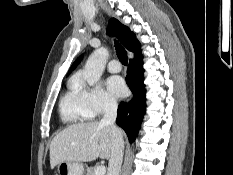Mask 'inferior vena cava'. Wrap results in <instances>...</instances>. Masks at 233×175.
Listing matches in <instances>:
<instances>
[{
  "label": "inferior vena cava",
  "mask_w": 233,
  "mask_h": 175,
  "mask_svg": "<svg viewBox=\"0 0 233 175\" xmlns=\"http://www.w3.org/2000/svg\"><path fill=\"white\" fill-rule=\"evenodd\" d=\"M117 102L114 99H108L105 103L104 116L101 124L109 125L113 134V146L111 157L109 159L107 175H119L123 160L124 141L120 135L119 129L115 125L117 117Z\"/></svg>",
  "instance_id": "obj_1"
}]
</instances>
